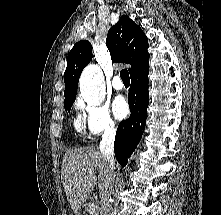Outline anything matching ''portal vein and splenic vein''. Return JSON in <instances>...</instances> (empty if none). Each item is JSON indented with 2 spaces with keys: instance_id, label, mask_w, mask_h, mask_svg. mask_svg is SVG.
<instances>
[{
  "instance_id": "obj_1",
  "label": "portal vein and splenic vein",
  "mask_w": 221,
  "mask_h": 215,
  "mask_svg": "<svg viewBox=\"0 0 221 215\" xmlns=\"http://www.w3.org/2000/svg\"><path fill=\"white\" fill-rule=\"evenodd\" d=\"M96 210H97V206L92 205V206L90 207V213H94Z\"/></svg>"
}]
</instances>
